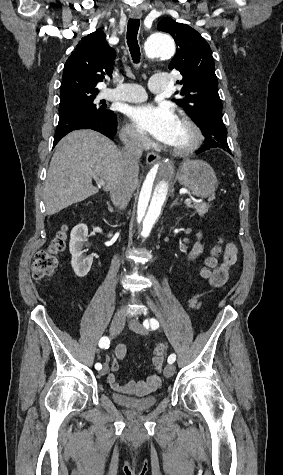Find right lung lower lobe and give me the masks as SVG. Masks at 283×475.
I'll use <instances>...</instances> for the list:
<instances>
[{"instance_id":"1","label":"right lung lower lobe","mask_w":283,"mask_h":475,"mask_svg":"<svg viewBox=\"0 0 283 475\" xmlns=\"http://www.w3.org/2000/svg\"><path fill=\"white\" fill-rule=\"evenodd\" d=\"M78 129H92L112 138L117 131V117L113 115L106 119L96 118L92 114L75 110L59 115L53 148L69 132Z\"/></svg>"}]
</instances>
